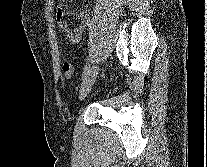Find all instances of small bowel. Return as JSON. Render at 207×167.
Segmentation results:
<instances>
[{"label":"small bowel","mask_w":207,"mask_h":167,"mask_svg":"<svg viewBox=\"0 0 207 167\" xmlns=\"http://www.w3.org/2000/svg\"><path fill=\"white\" fill-rule=\"evenodd\" d=\"M68 12L66 11L65 5L63 2H60L57 7V24L59 30L64 35V38L69 43H77L89 22V13L87 6L82 7L78 12L74 14L75 18L78 20L76 27L72 28L67 20Z\"/></svg>","instance_id":"1"}]
</instances>
